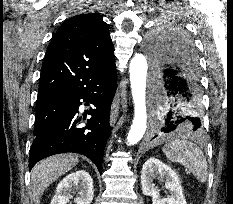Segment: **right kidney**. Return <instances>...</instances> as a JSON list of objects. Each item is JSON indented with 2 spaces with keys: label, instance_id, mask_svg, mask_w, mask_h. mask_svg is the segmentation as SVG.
<instances>
[{
  "label": "right kidney",
  "instance_id": "obj_1",
  "mask_svg": "<svg viewBox=\"0 0 233 204\" xmlns=\"http://www.w3.org/2000/svg\"><path fill=\"white\" fill-rule=\"evenodd\" d=\"M72 192H78L75 199L76 204H90L94 197L93 179L85 170L71 172L64 177L56 188V193L51 200V204H71L69 203Z\"/></svg>",
  "mask_w": 233,
  "mask_h": 204
}]
</instances>
